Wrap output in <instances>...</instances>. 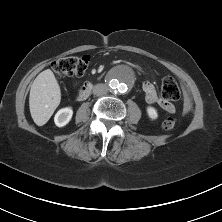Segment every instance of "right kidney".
<instances>
[{
  "mask_svg": "<svg viewBox=\"0 0 222 222\" xmlns=\"http://www.w3.org/2000/svg\"><path fill=\"white\" fill-rule=\"evenodd\" d=\"M73 115V110L71 107H65L60 109L54 117V122L56 126L63 127L69 123Z\"/></svg>",
  "mask_w": 222,
  "mask_h": 222,
  "instance_id": "1",
  "label": "right kidney"
}]
</instances>
